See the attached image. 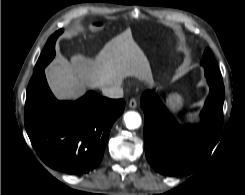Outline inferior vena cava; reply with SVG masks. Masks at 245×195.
<instances>
[{
    "mask_svg": "<svg viewBox=\"0 0 245 195\" xmlns=\"http://www.w3.org/2000/svg\"><path fill=\"white\" fill-rule=\"evenodd\" d=\"M102 93L112 99H118L123 97V89L120 86H104L101 88Z\"/></svg>",
    "mask_w": 245,
    "mask_h": 195,
    "instance_id": "1",
    "label": "inferior vena cava"
}]
</instances>
